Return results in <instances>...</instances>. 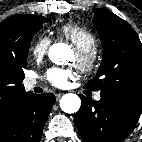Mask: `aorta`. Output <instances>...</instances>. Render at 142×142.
Segmentation results:
<instances>
[{"label":"aorta","instance_id":"obj_1","mask_svg":"<svg viewBox=\"0 0 142 142\" xmlns=\"http://www.w3.org/2000/svg\"><path fill=\"white\" fill-rule=\"evenodd\" d=\"M71 52L72 50L67 44L57 43L51 46L49 58L55 64H64L67 62ZM80 106L81 100L76 94L68 93L60 99V107L66 113H75L79 110Z\"/></svg>","mask_w":142,"mask_h":142}]
</instances>
